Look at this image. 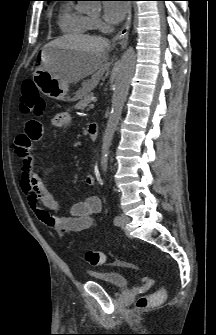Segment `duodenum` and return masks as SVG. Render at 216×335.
<instances>
[{
	"mask_svg": "<svg viewBox=\"0 0 216 335\" xmlns=\"http://www.w3.org/2000/svg\"><path fill=\"white\" fill-rule=\"evenodd\" d=\"M88 133L92 140H96L98 137V125L96 123L89 124Z\"/></svg>",
	"mask_w": 216,
	"mask_h": 335,
	"instance_id": "obj_1",
	"label": "duodenum"
}]
</instances>
